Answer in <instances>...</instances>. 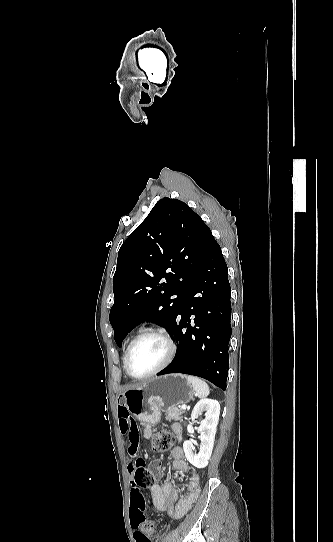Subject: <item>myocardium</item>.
Instances as JSON below:
<instances>
[{
	"instance_id": "myocardium-1",
	"label": "myocardium",
	"mask_w": 333,
	"mask_h": 542,
	"mask_svg": "<svg viewBox=\"0 0 333 542\" xmlns=\"http://www.w3.org/2000/svg\"><path fill=\"white\" fill-rule=\"evenodd\" d=\"M132 236V235H131ZM149 336H153V337H157L159 339H161L165 346H166V356H165V359L163 360V362L157 367L155 368L153 371L145 374V375H142V376H134L130 373L129 371V367H128V361H129V357H130V354L134 348V346L143 338L145 337H149ZM175 354H176V346H175V343L171 337V335L166 331L164 330L163 328H149V329H146V330H143L142 332H140L132 341L131 343L129 344L128 346V349L126 351V354H125V357H124V369L126 371V373L128 374L129 377L133 378V379H137V380H143V379H147V378H150L156 374H158L159 372L163 371L166 367L169 366V364L172 362V360L174 359L175 357Z\"/></svg>"
}]
</instances>
